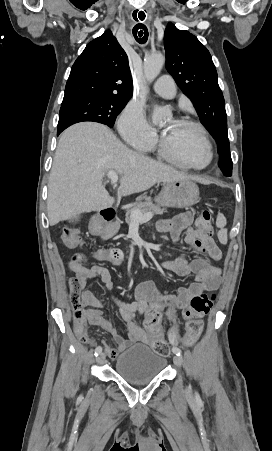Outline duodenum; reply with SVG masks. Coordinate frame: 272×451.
<instances>
[{
	"mask_svg": "<svg viewBox=\"0 0 272 451\" xmlns=\"http://www.w3.org/2000/svg\"><path fill=\"white\" fill-rule=\"evenodd\" d=\"M115 219V209L113 207H105L101 210L100 215L94 219L90 226L93 235L106 238L108 236V225Z\"/></svg>",
	"mask_w": 272,
	"mask_h": 451,
	"instance_id": "obj_1",
	"label": "duodenum"
}]
</instances>
